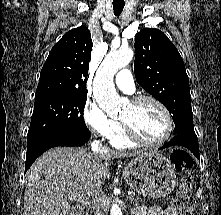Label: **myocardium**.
Returning a JSON list of instances; mask_svg holds the SVG:
<instances>
[{
  "label": "myocardium",
  "instance_id": "f54148a6",
  "mask_svg": "<svg viewBox=\"0 0 221 215\" xmlns=\"http://www.w3.org/2000/svg\"><path fill=\"white\" fill-rule=\"evenodd\" d=\"M145 101H150V102L154 103L155 105H157L161 109V111L163 112V114L165 116L166 131L161 139H159L156 142H148V141L144 140L143 138H141L128 122H126L124 120H121L120 122H121V125L123 127L126 137L134 144H137V145H140L143 147H148V148L159 147L169 140V138L173 132V129H174L173 117H172L169 109L167 108V106L162 101H160L158 98L151 96V95L137 96V97L133 98L130 103L132 105H137V104H140Z\"/></svg>",
  "mask_w": 221,
  "mask_h": 215
}]
</instances>
